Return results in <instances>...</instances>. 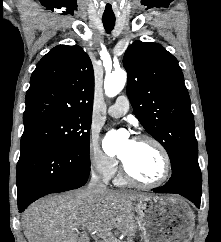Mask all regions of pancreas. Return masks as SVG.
I'll return each instance as SVG.
<instances>
[{"label": "pancreas", "mask_w": 221, "mask_h": 242, "mask_svg": "<svg viewBox=\"0 0 221 242\" xmlns=\"http://www.w3.org/2000/svg\"><path fill=\"white\" fill-rule=\"evenodd\" d=\"M111 242V241H108ZM123 242H133V240L131 238H128L127 241H123Z\"/></svg>", "instance_id": "1"}]
</instances>
